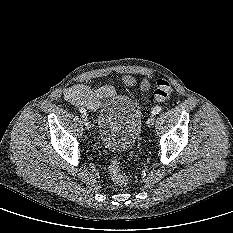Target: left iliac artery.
Returning a JSON list of instances; mask_svg holds the SVG:
<instances>
[{
	"mask_svg": "<svg viewBox=\"0 0 233 233\" xmlns=\"http://www.w3.org/2000/svg\"><path fill=\"white\" fill-rule=\"evenodd\" d=\"M161 107L160 106H156L153 110H152V115H156L161 111Z\"/></svg>",
	"mask_w": 233,
	"mask_h": 233,
	"instance_id": "left-iliac-artery-1",
	"label": "left iliac artery"
}]
</instances>
